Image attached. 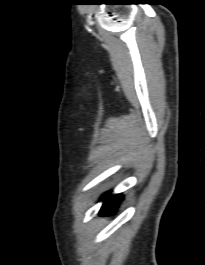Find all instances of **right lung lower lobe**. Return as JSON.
<instances>
[{"instance_id": "1", "label": "right lung lower lobe", "mask_w": 205, "mask_h": 265, "mask_svg": "<svg viewBox=\"0 0 205 265\" xmlns=\"http://www.w3.org/2000/svg\"><path fill=\"white\" fill-rule=\"evenodd\" d=\"M102 199L104 200L103 206L100 210L101 215H110L115 211L118 204L122 200V195L109 196V193L105 194Z\"/></svg>"}]
</instances>
